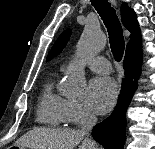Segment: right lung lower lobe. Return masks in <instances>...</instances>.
Wrapping results in <instances>:
<instances>
[{
  "label": "right lung lower lobe",
  "mask_w": 155,
  "mask_h": 149,
  "mask_svg": "<svg viewBox=\"0 0 155 149\" xmlns=\"http://www.w3.org/2000/svg\"><path fill=\"white\" fill-rule=\"evenodd\" d=\"M141 64L142 55L138 57L125 55L123 62L125 78L115 110L107 119L92 129V137L106 149H123L126 139L125 113L137 88V82L133 79L139 78Z\"/></svg>",
  "instance_id": "right-lung-lower-lobe-1"
}]
</instances>
